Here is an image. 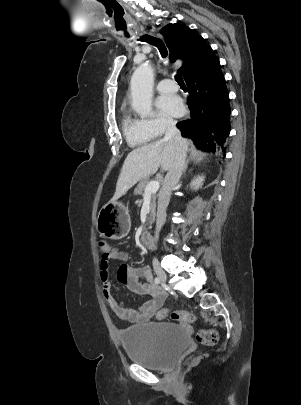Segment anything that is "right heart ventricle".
Returning <instances> with one entry per match:
<instances>
[{
  "mask_svg": "<svg viewBox=\"0 0 301 405\" xmlns=\"http://www.w3.org/2000/svg\"><path fill=\"white\" fill-rule=\"evenodd\" d=\"M121 125L126 140L132 147L147 144L155 137L145 125L144 120L137 118L128 110L122 114Z\"/></svg>",
  "mask_w": 301,
  "mask_h": 405,
  "instance_id": "1",
  "label": "right heart ventricle"
}]
</instances>
